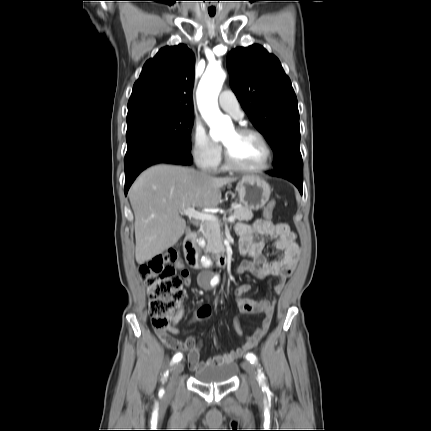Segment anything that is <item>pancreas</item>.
I'll return each instance as SVG.
<instances>
[{
	"instance_id": "cf45deb5",
	"label": "pancreas",
	"mask_w": 431,
	"mask_h": 431,
	"mask_svg": "<svg viewBox=\"0 0 431 431\" xmlns=\"http://www.w3.org/2000/svg\"><path fill=\"white\" fill-rule=\"evenodd\" d=\"M234 212L232 215L239 221H249L253 218L252 211L242 206L241 204L234 202L232 203ZM204 232L203 237L207 241L206 250L209 252L217 251L223 247L220 226L217 223L211 221H205L203 223Z\"/></svg>"
}]
</instances>
